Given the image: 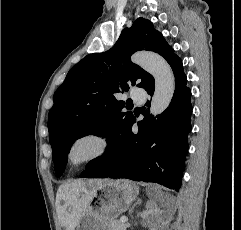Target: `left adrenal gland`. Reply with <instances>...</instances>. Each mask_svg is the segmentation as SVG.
Listing matches in <instances>:
<instances>
[{
  "instance_id": "left-adrenal-gland-1",
  "label": "left adrenal gland",
  "mask_w": 241,
  "mask_h": 230,
  "mask_svg": "<svg viewBox=\"0 0 241 230\" xmlns=\"http://www.w3.org/2000/svg\"><path fill=\"white\" fill-rule=\"evenodd\" d=\"M140 203H141V201L138 199L135 205L140 204Z\"/></svg>"
}]
</instances>
